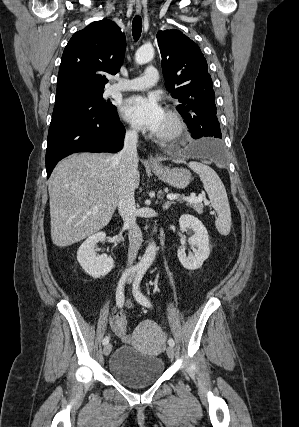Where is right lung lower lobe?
Here are the masks:
<instances>
[{
    "mask_svg": "<svg viewBox=\"0 0 299 427\" xmlns=\"http://www.w3.org/2000/svg\"><path fill=\"white\" fill-rule=\"evenodd\" d=\"M125 128L118 115L76 112L51 120L46 150L49 178L55 165L76 152H117L123 147Z\"/></svg>",
    "mask_w": 299,
    "mask_h": 427,
    "instance_id": "1",
    "label": "right lung lower lobe"
}]
</instances>
